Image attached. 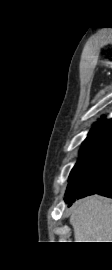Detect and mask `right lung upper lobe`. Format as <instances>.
Wrapping results in <instances>:
<instances>
[{
	"label": "right lung upper lobe",
	"mask_w": 112,
	"mask_h": 270,
	"mask_svg": "<svg viewBox=\"0 0 112 270\" xmlns=\"http://www.w3.org/2000/svg\"><path fill=\"white\" fill-rule=\"evenodd\" d=\"M109 126L112 127V119H110V120H105L104 122H100V123L96 124V125L92 128V130L97 129V128H101V127H109Z\"/></svg>",
	"instance_id": "cb5924a9"
}]
</instances>
